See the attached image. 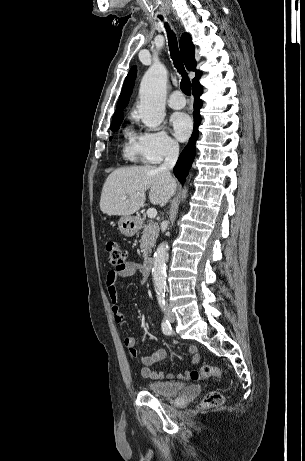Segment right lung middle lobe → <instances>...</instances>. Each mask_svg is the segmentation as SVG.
I'll return each mask as SVG.
<instances>
[{
    "label": "right lung middle lobe",
    "mask_w": 305,
    "mask_h": 461,
    "mask_svg": "<svg viewBox=\"0 0 305 461\" xmlns=\"http://www.w3.org/2000/svg\"><path fill=\"white\" fill-rule=\"evenodd\" d=\"M121 122H122V121H117V122L112 123L110 129H111L112 131H116V130L119 128Z\"/></svg>",
    "instance_id": "right-lung-middle-lobe-1"
}]
</instances>
